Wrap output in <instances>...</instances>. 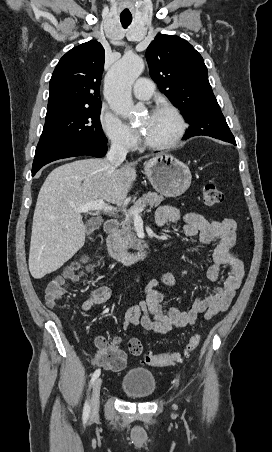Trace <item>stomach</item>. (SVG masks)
<instances>
[{
	"mask_svg": "<svg viewBox=\"0 0 272 452\" xmlns=\"http://www.w3.org/2000/svg\"><path fill=\"white\" fill-rule=\"evenodd\" d=\"M144 172L153 188L166 197L182 195L190 186L189 167L169 153H160L144 163Z\"/></svg>",
	"mask_w": 272,
	"mask_h": 452,
	"instance_id": "obj_1",
	"label": "stomach"
}]
</instances>
